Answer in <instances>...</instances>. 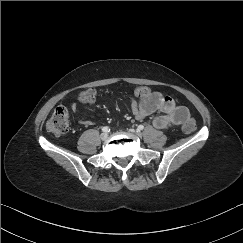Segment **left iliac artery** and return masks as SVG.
<instances>
[{
    "label": "left iliac artery",
    "mask_w": 243,
    "mask_h": 243,
    "mask_svg": "<svg viewBox=\"0 0 243 243\" xmlns=\"http://www.w3.org/2000/svg\"><path fill=\"white\" fill-rule=\"evenodd\" d=\"M144 129V126L143 125H139L138 126V130L140 131V130H143Z\"/></svg>",
    "instance_id": "obj_1"
}]
</instances>
